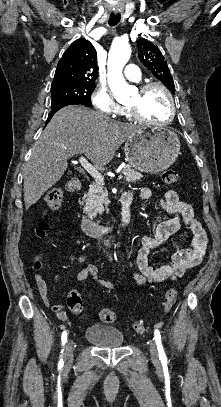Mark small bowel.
Masks as SVG:
<instances>
[{
  "instance_id": "c3829d8e",
  "label": "small bowel",
  "mask_w": 221,
  "mask_h": 407,
  "mask_svg": "<svg viewBox=\"0 0 221 407\" xmlns=\"http://www.w3.org/2000/svg\"><path fill=\"white\" fill-rule=\"evenodd\" d=\"M124 193H127L132 201L134 192L128 190ZM139 197L142 200H149L152 197L150 188H140ZM158 205L164 214L171 215V217L162 221L152 234L146 235L142 239V245L138 250L136 258L137 269L132 270L130 273L131 278L140 286L174 281L182 277L188 269L199 264L206 254L207 235L200 222L195 217L192 206L179 200L177 193L173 190L167 191L158 201ZM181 225H184L192 235L190 246L181 247L176 251L172 256L171 264L158 266L150 265L148 261L150 253L153 250L172 242ZM67 256L70 259H76L78 261L83 260L82 256L75 257L71 254H67ZM34 268L36 269L35 281L37 290L43 303L46 306L51 307L53 312H55L60 319L64 320L65 314L62 311V305L51 304L50 302L47 283L43 275L39 272L41 265L38 259H36L34 263ZM89 276L93 277L99 285L112 291L117 290L112 282L98 276V269L94 265H89L76 274V278L79 281H83ZM73 296L74 293L70 292L67 295V302H69Z\"/></svg>"
}]
</instances>
